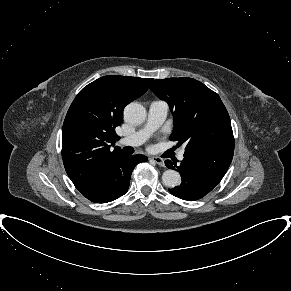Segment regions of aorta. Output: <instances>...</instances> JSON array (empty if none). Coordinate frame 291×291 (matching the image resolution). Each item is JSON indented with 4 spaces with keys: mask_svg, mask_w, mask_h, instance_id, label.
I'll use <instances>...</instances> for the list:
<instances>
[{
    "mask_svg": "<svg viewBox=\"0 0 291 291\" xmlns=\"http://www.w3.org/2000/svg\"><path fill=\"white\" fill-rule=\"evenodd\" d=\"M146 118V109L137 102L129 103L124 109V119L131 124H141ZM181 181L180 174L172 169L166 170L162 175V182L165 186L174 188Z\"/></svg>",
    "mask_w": 291,
    "mask_h": 291,
    "instance_id": "obj_1",
    "label": "aorta"
}]
</instances>
